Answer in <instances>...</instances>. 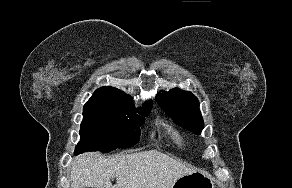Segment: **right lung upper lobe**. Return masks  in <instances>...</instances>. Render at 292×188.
I'll use <instances>...</instances> for the list:
<instances>
[{
  "instance_id": "right-lung-upper-lobe-1",
  "label": "right lung upper lobe",
  "mask_w": 292,
  "mask_h": 188,
  "mask_svg": "<svg viewBox=\"0 0 292 188\" xmlns=\"http://www.w3.org/2000/svg\"><path fill=\"white\" fill-rule=\"evenodd\" d=\"M98 90H104V91H112V92H119V93H124L121 90L114 88V87H110V86H105L102 88H99ZM125 94V93H124ZM127 95V94H126ZM151 102V101H150Z\"/></svg>"
}]
</instances>
